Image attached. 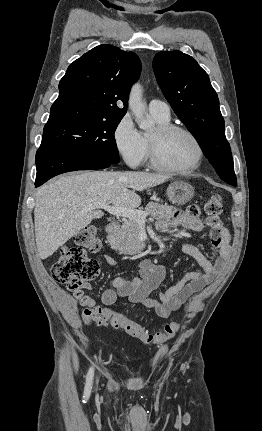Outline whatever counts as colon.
<instances>
[{
	"instance_id": "5ec220e1",
	"label": "colon",
	"mask_w": 262,
	"mask_h": 431,
	"mask_svg": "<svg viewBox=\"0 0 262 431\" xmlns=\"http://www.w3.org/2000/svg\"><path fill=\"white\" fill-rule=\"evenodd\" d=\"M189 214H196L198 207L190 205ZM223 212V202L219 194L214 193L208 197L204 204V213L207 217L216 218ZM73 245L62 249L59 258L51 265L50 271L54 279L63 284L69 291H76L93 280L99 273V264L85 254V250L98 251L101 244L97 238V227L88 226L73 239ZM86 323H107L113 329L124 330L148 345L163 344L176 336L181 323L174 321L167 324L162 332L149 333L141 324L136 323L125 315L116 314L112 317L101 315L98 310L95 316H85Z\"/></svg>"
}]
</instances>
